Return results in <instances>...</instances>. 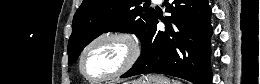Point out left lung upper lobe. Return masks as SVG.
<instances>
[{
	"label": "left lung upper lobe",
	"mask_w": 260,
	"mask_h": 84,
	"mask_svg": "<svg viewBox=\"0 0 260 84\" xmlns=\"http://www.w3.org/2000/svg\"><path fill=\"white\" fill-rule=\"evenodd\" d=\"M140 0H83L74 15L68 42V64L74 63L82 49L100 34L109 31L135 33L144 45L154 9L141 6Z\"/></svg>",
	"instance_id": "left-lung-upper-lobe-1"
}]
</instances>
